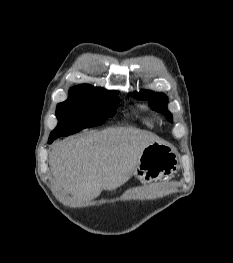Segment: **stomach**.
Masks as SVG:
<instances>
[{
	"instance_id": "stomach-1",
	"label": "stomach",
	"mask_w": 233,
	"mask_h": 263,
	"mask_svg": "<svg viewBox=\"0 0 233 263\" xmlns=\"http://www.w3.org/2000/svg\"><path fill=\"white\" fill-rule=\"evenodd\" d=\"M178 168V153L170 144L155 141L145 147L139 157L134 175L143 183L167 177Z\"/></svg>"
}]
</instances>
